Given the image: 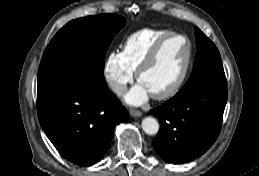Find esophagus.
Wrapping results in <instances>:
<instances>
[{"mask_svg": "<svg viewBox=\"0 0 259 176\" xmlns=\"http://www.w3.org/2000/svg\"><path fill=\"white\" fill-rule=\"evenodd\" d=\"M129 113L133 117H141L142 116V112L139 111V110H135V109H130Z\"/></svg>", "mask_w": 259, "mask_h": 176, "instance_id": "1", "label": "esophagus"}]
</instances>
